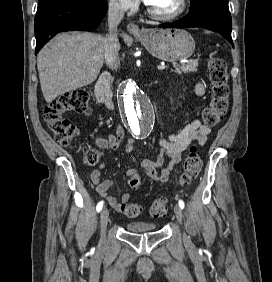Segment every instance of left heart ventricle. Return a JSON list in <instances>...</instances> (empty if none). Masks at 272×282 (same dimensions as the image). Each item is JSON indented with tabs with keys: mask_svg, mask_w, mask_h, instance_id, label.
<instances>
[{
	"mask_svg": "<svg viewBox=\"0 0 272 282\" xmlns=\"http://www.w3.org/2000/svg\"><path fill=\"white\" fill-rule=\"evenodd\" d=\"M149 7L162 14H171L180 8V0H149Z\"/></svg>",
	"mask_w": 272,
	"mask_h": 282,
	"instance_id": "left-heart-ventricle-1",
	"label": "left heart ventricle"
}]
</instances>
